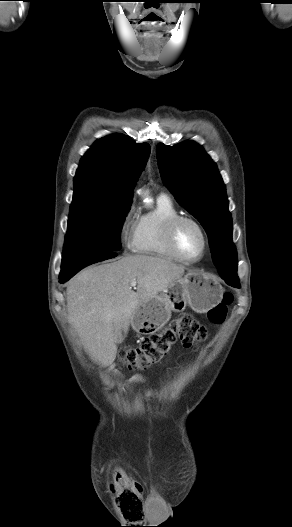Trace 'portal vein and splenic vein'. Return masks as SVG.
I'll return each mask as SVG.
<instances>
[{
    "instance_id": "portal-vein-and-splenic-vein-1",
    "label": "portal vein and splenic vein",
    "mask_w": 292,
    "mask_h": 527,
    "mask_svg": "<svg viewBox=\"0 0 292 527\" xmlns=\"http://www.w3.org/2000/svg\"><path fill=\"white\" fill-rule=\"evenodd\" d=\"M136 285H137V282L135 280L131 282L132 287H135Z\"/></svg>"
}]
</instances>
